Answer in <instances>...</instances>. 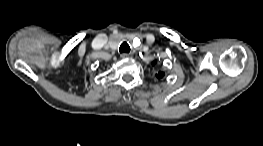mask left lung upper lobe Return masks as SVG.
Wrapping results in <instances>:
<instances>
[{
	"label": "left lung upper lobe",
	"instance_id": "left-lung-upper-lobe-1",
	"mask_svg": "<svg viewBox=\"0 0 263 146\" xmlns=\"http://www.w3.org/2000/svg\"><path fill=\"white\" fill-rule=\"evenodd\" d=\"M156 64V61H154L153 63H152V65H155ZM163 76H164V73L163 72H159L158 74H156V77L157 78H163Z\"/></svg>",
	"mask_w": 263,
	"mask_h": 146
}]
</instances>
